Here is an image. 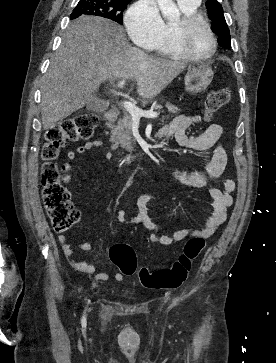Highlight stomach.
Listing matches in <instances>:
<instances>
[{
	"mask_svg": "<svg viewBox=\"0 0 276 363\" xmlns=\"http://www.w3.org/2000/svg\"><path fill=\"white\" fill-rule=\"evenodd\" d=\"M213 77V71L206 65L189 67L185 75V90L192 94H199L206 90Z\"/></svg>",
	"mask_w": 276,
	"mask_h": 363,
	"instance_id": "0dacf381",
	"label": "stomach"
}]
</instances>
